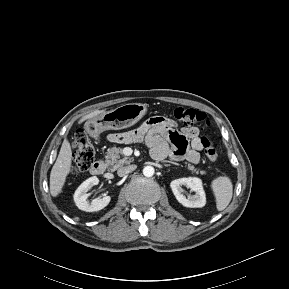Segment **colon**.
Returning <instances> with one entry per match:
<instances>
[{"mask_svg":"<svg viewBox=\"0 0 289 289\" xmlns=\"http://www.w3.org/2000/svg\"><path fill=\"white\" fill-rule=\"evenodd\" d=\"M171 116L183 125H199L202 129L210 126V121L204 112L192 108H176L171 112ZM95 126L90 125L89 130H94ZM204 153L207 159L215 162L218 158L214 142L211 138L202 137ZM73 158L72 173L79 174L86 171L94 160V147L89 140L87 130H76L73 138Z\"/></svg>","mask_w":289,"mask_h":289,"instance_id":"colon-1","label":"colon"}]
</instances>
